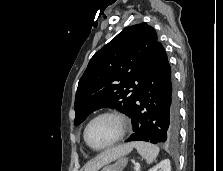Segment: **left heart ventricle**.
I'll return each instance as SVG.
<instances>
[{
  "instance_id": "left-heart-ventricle-1",
  "label": "left heart ventricle",
  "mask_w": 223,
  "mask_h": 171,
  "mask_svg": "<svg viewBox=\"0 0 223 171\" xmlns=\"http://www.w3.org/2000/svg\"><path fill=\"white\" fill-rule=\"evenodd\" d=\"M120 126L112 117L95 120L89 127L87 137L94 147H103L111 143L119 134Z\"/></svg>"
}]
</instances>
